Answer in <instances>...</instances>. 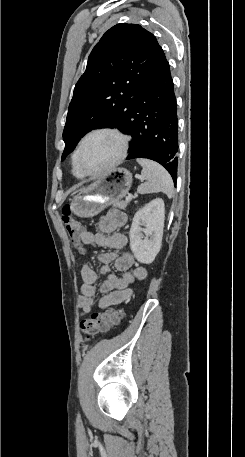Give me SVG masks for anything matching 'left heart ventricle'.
I'll return each instance as SVG.
<instances>
[{
  "instance_id": "obj_1",
  "label": "left heart ventricle",
  "mask_w": 245,
  "mask_h": 457,
  "mask_svg": "<svg viewBox=\"0 0 245 457\" xmlns=\"http://www.w3.org/2000/svg\"><path fill=\"white\" fill-rule=\"evenodd\" d=\"M120 141L109 133L90 137L82 150L81 163L90 172L102 169L111 163L118 154Z\"/></svg>"
}]
</instances>
